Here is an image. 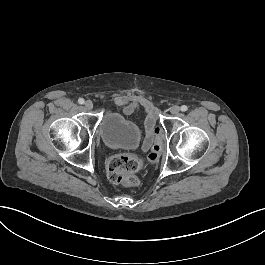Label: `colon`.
<instances>
[{"label": "colon", "mask_w": 265, "mask_h": 265, "mask_svg": "<svg viewBox=\"0 0 265 265\" xmlns=\"http://www.w3.org/2000/svg\"><path fill=\"white\" fill-rule=\"evenodd\" d=\"M159 133V129H155ZM162 154L160 141H156L149 155L147 161L154 164ZM141 155L135 153H118L110 157L106 167L108 179L116 184L125 187H136L139 185V178L137 174L141 171L145 162H142Z\"/></svg>", "instance_id": "obj_1"}]
</instances>
